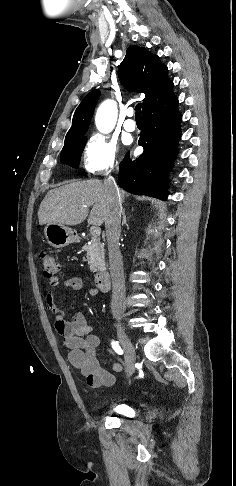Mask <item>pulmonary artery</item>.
Returning <instances> with one entry per match:
<instances>
[{"label": "pulmonary artery", "instance_id": "pulmonary-artery-1", "mask_svg": "<svg viewBox=\"0 0 236 486\" xmlns=\"http://www.w3.org/2000/svg\"><path fill=\"white\" fill-rule=\"evenodd\" d=\"M126 114H127V117H128V118H127V119L125 120V122H124V129H125L126 131L133 132V131H135V130H136V123H135V121L132 119V116H133V114H134L133 109H131V108H130V109H128V110H127V112H126Z\"/></svg>", "mask_w": 236, "mask_h": 486}]
</instances>
